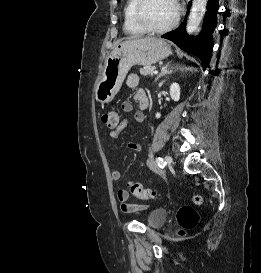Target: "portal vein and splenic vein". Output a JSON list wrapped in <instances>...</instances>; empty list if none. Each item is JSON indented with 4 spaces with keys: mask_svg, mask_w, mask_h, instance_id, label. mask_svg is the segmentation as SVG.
Segmentation results:
<instances>
[{
    "mask_svg": "<svg viewBox=\"0 0 261 273\" xmlns=\"http://www.w3.org/2000/svg\"><path fill=\"white\" fill-rule=\"evenodd\" d=\"M153 73H154V74H157V73H158V71H157V70H154V71H153Z\"/></svg>",
    "mask_w": 261,
    "mask_h": 273,
    "instance_id": "1",
    "label": "portal vein and splenic vein"
}]
</instances>
